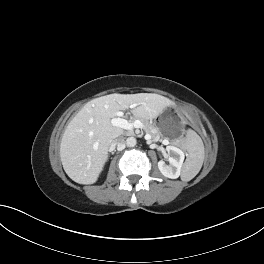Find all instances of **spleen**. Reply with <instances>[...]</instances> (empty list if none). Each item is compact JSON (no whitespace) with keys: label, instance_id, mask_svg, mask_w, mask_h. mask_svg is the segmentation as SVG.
I'll use <instances>...</instances> for the list:
<instances>
[{"label":"spleen","instance_id":"1","mask_svg":"<svg viewBox=\"0 0 264 264\" xmlns=\"http://www.w3.org/2000/svg\"><path fill=\"white\" fill-rule=\"evenodd\" d=\"M185 148L188 151V157L183 166L181 178L183 181H190L199 173L205 157L202 139L191 129L186 132Z\"/></svg>","mask_w":264,"mask_h":264}]
</instances>
